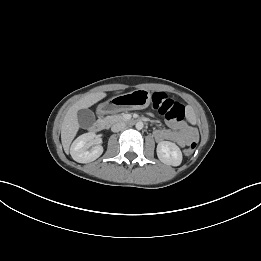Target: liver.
Returning <instances> with one entry per match:
<instances>
[{
    "label": "liver",
    "mask_w": 261,
    "mask_h": 261,
    "mask_svg": "<svg viewBox=\"0 0 261 261\" xmlns=\"http://www.w3.org/2000/svg\"><path fill=\"white\" fill-rule=\"evenodd\" d=\"M106 97L104 92L90 93L74 103L67 111L61 126V142L65 152L69 151L70 144L79 130L77 113L81 109H87Z\"/></svg>",
    "instance_id": "6515ba94"
}]
</instances>
